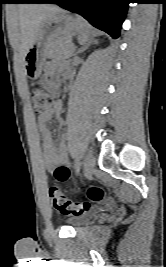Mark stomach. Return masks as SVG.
Segmentation results:
<instances>
[{"instance_id": "stomach-1", "label": "stomach", "mask_w": 166, "mask_h": 267, "mask_svg": "<svg viewBox=\"0 0 166 267\" xmlns=\"http://www.w3.org/2000/svg\"><path fill=\"white\" fill-rule=\"evenodd\" d=\"M82 23L81 19L75 18L63 10L44 19L39 26L35 41L24 57L26 76L31 80L39 78L55 38L78 32Z\"/></svg>"}]
</instances>
